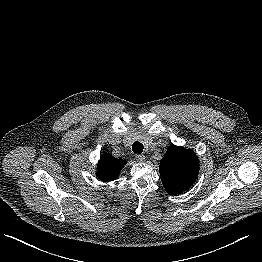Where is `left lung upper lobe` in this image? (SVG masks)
Wrapping results in <instances>:
<instances>
[{"instance_id":"1","label":"left lung upper lobe","mask_w":262,"mask_h":262,"mask_svg":"<svg viewBox=\"0 0 262 262\" xmlns=\"http://www.w3.org/2000/svg\"><path fill=\"white\" fill-rule=\"evenodd\" d=\"M159 169L166 191L177 195L193 185L199 172V162L192 150L171 145L162 158Z\"/></svg>"}]
</instances>
